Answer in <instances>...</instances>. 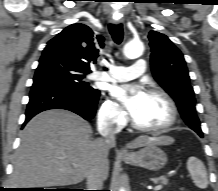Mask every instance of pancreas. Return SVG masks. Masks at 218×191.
<instances>
[{"mask_svg": "<svg viewBox=\"0 0 218 191\" xmlns=\"http://www.w3.org/2000/svg\"><path fill=\"white\" fill-rule=\"evenodd\" d=\"M152 181L155 183L162 182L163 184H165L167 182V180L164 177L153 178Z\"/></svg>", "mask_w": 218, "mask_h": 191, "instance_id": "cf45deb5", "label": "pancreas"}]
</instances>
